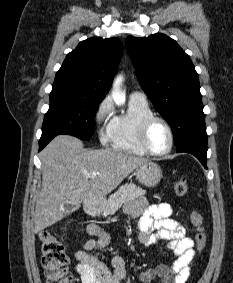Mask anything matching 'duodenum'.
Instances as JSON below:
<instances>
[{"mask_svg":"<svg viewBox=\"0 0 233 283\" xmlns=\"http://www.w3.org/2000/svg\"><path fill=\"white\" fill-rule=\"evenodd\" d=\"M104 208V202L101 200H90L85 205L88 214L95 215L100 213Z\"/></svg>","mask_w":233,"mask_h":283,"instance_id":"duodenum-1","label":"duodenum"}]
</instances>
